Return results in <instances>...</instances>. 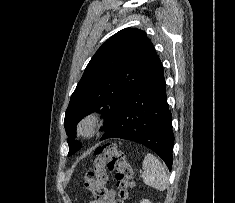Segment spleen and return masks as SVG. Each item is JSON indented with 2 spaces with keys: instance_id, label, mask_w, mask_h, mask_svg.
<instances>
[{
  "instance_id": "3e777b00",
  "label": "spleen",
  "mask_w": 235,
  "mask_h": 203,
  "mask_svg": "<svg viewBox=\"0 0 235 203\" xmlns=\"http://www.w3.org/2000/svg\"><path fill=\"white\" fill-rule=\"evenodd\" d=\"M144 170V183L158 190H165L168 186V176L162 163L148 153L142 163Z\"/></svg>"
}]
</instances>
